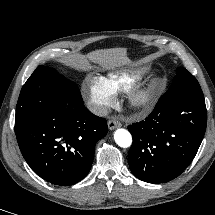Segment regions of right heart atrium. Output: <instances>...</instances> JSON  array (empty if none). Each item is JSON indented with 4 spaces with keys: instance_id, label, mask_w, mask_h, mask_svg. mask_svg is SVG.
<instances>
[{
    "instance_id": "1",
    "label": "right heart atrium",
    "mask_w": 215,
    "mask_h": 215,
    "mask_svg": "<svg viewBox=\"0 0 215 215\" xmlns=\"http://www.w3.org/2000/svg\"><path fill=\"white\" fill-rule=\"evenodd\" d=\"M83 89L89 109L98 116L104 115L115 103L114 93L101 77H88Z\"/></svg>"
}]
</instances>
